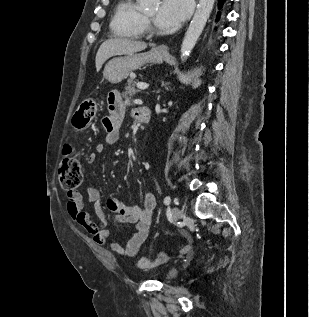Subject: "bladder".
I'll use <instances>...</instances> for the list:
<instances>
[{
	"mask_svg": "<svg viewBox=\"0 0 309 317\" xmlns=\"http://www.w3.org/2000/svg\"><path fill=\"white\" fill-rule=\"evenodd\" d=\"M178 276V270L177 269H169L165 274V279L170 281L174 280Z\"/></svg>",
	"mask_w": 309,
	"mask_h": 317,
	"instance_id": "1",
	"label": "bladder"
}]
</instances>
